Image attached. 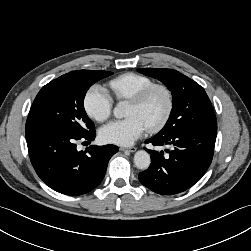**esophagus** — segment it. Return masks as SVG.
<instances>
[{
	"mask_svg": "<svg viewBox=\"0 0 251 251\" xmlns=\"http://www.w3.org/2000/svg\"><path fill=\"white\" fill-rule=\"evenodd\" d=\"M120 150L121 151H129V152H135L137 150L136 147H129V148H126V147H120Z\"/></svg>",
	"mask_w": 251,
	"mask_h": 251,
	"instance_id": "1",
	"label": "esophagus"
}]
</instances>
